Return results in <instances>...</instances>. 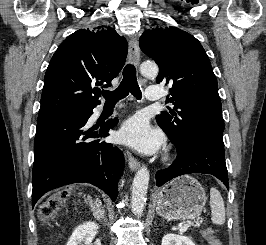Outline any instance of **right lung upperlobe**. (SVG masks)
Here are the masks:
<instances>
[{"instance_id":"obj_1","label":"right lung upper lobe","mask_w":266,"mask_h":245,"mask_svg":"<svg viewBox=\"0 0 266 245\" xmlns=\"http://www.w3.org/2000/svg\"><path fill=\"white\" fill-rule=\"evenodd\" d=\"M127 51L126 39L110 27L80 29L68 36L47 68L37 122L100 104L95 90L111 86Z\"/></svg>"}]
</instances>
